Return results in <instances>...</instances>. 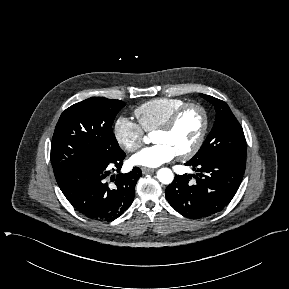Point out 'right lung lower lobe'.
<instances>
[{
	"label": "right lung lower lobe",
	"mask_w": 289,
	"mask_h": 289,
	"mask_svg": "<svg viewBox=\"0 0 289 289\" xmlns=\"http://www.w3.org/2000/svg\"><path fill=\"white\" fill-rule=\"evenodd\" d=\"M125 156L122 151L111 161L80 166L57 183L67 200L81 214L90 219L113 221L132 204L135 184L142 176L138 167L127 174L110 175L112 165L119 172Z\"/></svg>",
	"instance_id": "1"
}]
</instances>
